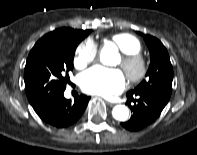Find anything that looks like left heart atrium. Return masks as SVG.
Returning <instances> with one entry per match:
<instances>
[{
  "label": "left heart atrium",
  "instance_id": "1",
  "mask_svg": "<svg viewBox=\"0 0 197 155\" xmlns=\"http://www.w3.org/2000/svg\"><path fill=\"white\" fill-rule=\"evenodd\" d=\"M83 91L93 95L109 96L121 92L125 87V77L120 70L95 66L80 76Z\"/></svg>",
  "mask_w": 197,
  "mask_h": 155
}]
</instances>
